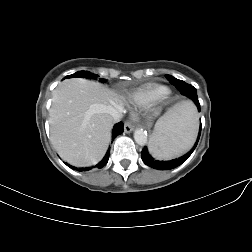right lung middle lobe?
Returning <instances> with one entry per match:
<instances>
[{"mask_svg": "<svg viewBox=\"0 0 252 252\" xmlns=\"http://www.w3.org/2000/svg\"><path fill=\"white\" fill-rule=\"evenodd\" d=\"M96 74H93L89 71H78L72 75H68L66 77H64L63 79H66V78H88V79H93V78H96ZM100 81H104V79H100Z\"/></svg>", "mask_w": 252, "mask_h": 252, "instance_id": "dd1d6c3e", "label": "right lung middle lobe"}]
</instances>
